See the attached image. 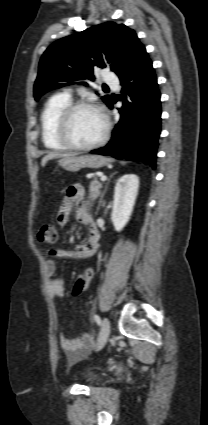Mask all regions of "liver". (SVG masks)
Masks as SVG:
<instances>
[{"mask_svg":"<svg viewBox=\"0 0 208 425\" xmlns=\"http://www.w3.org/2000/svg\"><path fill=\"white\" fill-rule=\"evenodd\" d=\"M75 155L76 154L49 153L42 158L41 165L42 167H44L49 160L54 158H65V157H72Z\"/></svg>","mask_w":208,"mask_h":425,"instance_id":"1","label":"liver"}]
</instances>
